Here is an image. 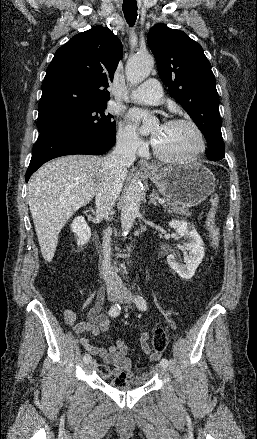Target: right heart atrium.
<instances>
[{"label": "right heart atrium", "instance_id": "d8ad5b80", "mask_svg": "<svg viewBox=\"0 0 257 439\" xmlns=\"http://www.w3.org/2000/svg\"><path fill=\"white\" fill-rule=\"evenodd\" d=\"M116 143L118 148L129 156L137 155L144 148V142L139 138L134 128L124 122L118 126Z\"/></svg>", "mask_w": 257, "mask_h": 439}]
</instances>
